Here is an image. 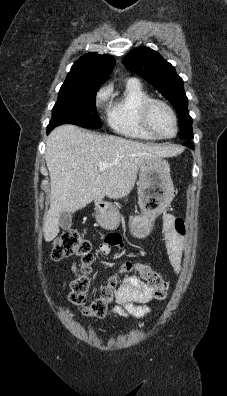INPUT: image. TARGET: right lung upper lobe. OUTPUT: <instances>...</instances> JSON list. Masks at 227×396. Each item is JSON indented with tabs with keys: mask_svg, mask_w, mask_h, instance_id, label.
<instances>
[{
	"mask_svg": "<svg viewBox=\"0 0 227 396\" xmlns=\"http://www.w3.org/2000/svg\"><path fill=\"white\" fill-rule=\"evenodd\" d=\"M114 65L115 59L111 55L87 53L74 63L65 83L100 85L108 78Z\"/></svg>",
	"mask_w": 227,
	"mask_h": 396,
	"instance_id": "cb5924a9",
	"label": "right lung upper lobe"
}]
</instances>
